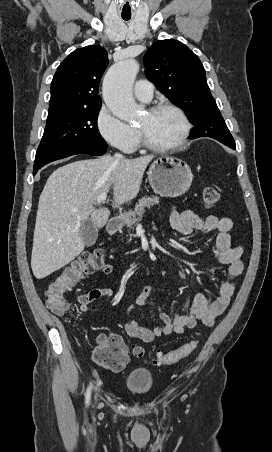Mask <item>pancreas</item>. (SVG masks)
Listing matches in <instances>:
<instances>
[{"mask_svg": "<svg viewBox=\"0 0 272 452\" xmlns=\"http://www.w3.org/2000/svg\"><path fill=\"white\" fill-rule=\"evenodd\" d=\"M159 203V197L158 196H152V197H142L138 204H136L134 212H130L127 217H132L127 221V228L130 229L133 227L135 222L137 221L136 215L141 217L142 214L145 212V208H150L153 205H156Z\"/></svg>", "mask_w": 272, "mask_h": 452, "instance_id": "cf45deb5", "label": "pancreas"}]
</instances>
